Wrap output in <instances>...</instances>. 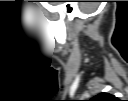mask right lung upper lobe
I'll return each mask as SVG.
<instances>
[{
  "instance_id": "1",
  "label": "right lung upper lobe",
  "mask_w": 128,
  "mask_h": 101,
  "mask_svg": "<svg viewBox=\"0 0 128 101\" xmlns=\"http://www.w3.org/2000/svg\"><path fill=\"white\" fill-rule=\"evenodd\" d=\"M96 101H115L116 98L108 93H101L95 97Z\"/></svg>"
}]
</instances>
